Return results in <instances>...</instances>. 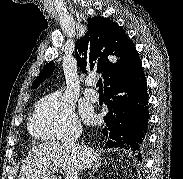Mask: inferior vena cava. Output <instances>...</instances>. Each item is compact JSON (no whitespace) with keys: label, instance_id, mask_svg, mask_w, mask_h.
Listing matches in <instances>:
<instances>
[{"label":"inferior vena cava","instance_id":"602c4592","mask_svg":"<svg viewBox=\"0 0 183 179\" xmlns=\"http://www.w3.org/2000/svg\"><path fill=\"white\" fill-rule=\"evenodd\" d=\"M82 131L81 130H74L71 133L65 135L61 141L62 146L65 149H70L72 151L76 150V144L75 142L77 141V139L79 138V136L81 135ZM78 170H79V175L82 172V166L81 164L78 162Z\"/></svg>","mask_w":183,"mask_h":179}]
</instances>
